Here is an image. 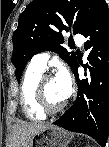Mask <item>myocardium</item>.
Returning <instances> with one entry per match:
<instances>
[{"instance_id": "myocardium-1", "label": "myocardium", "mask_w": 109, "mask_h": 147, "mask_svg": "<svg viewBox=\"0 0 109 147\" xmlns=\"http://www.w3.org/2000/svg\"><path fill=\"white\" fill-rule=\"evenodd\" d=\"M53 77L51 75H43L40 80L38 81V84L36 86L35 91V102L37 107L44 112L45 114H56L61 112L65 106H66V100H64L62 103H60L57 106H52L45 93V84L52 79Z\"/></svg>"}]
</instances>
